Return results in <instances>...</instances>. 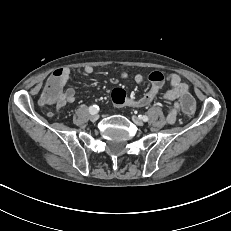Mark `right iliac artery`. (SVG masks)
Here are the masks:
<instances>
[{
	"mask_svg": "<svg viewBox=\"0 0 231 231\" xmlns=\"http://www.w3.org/2000/svg\"><path fill=\"white\" fill-rule=\"evenodd\" d=\"M99 111V106L97 105H92L89 107V112L90 114H96Z\"/></svg>",
	"mask_w": 231,
	"mask_h": 231,
	"instance_id": "right-iliac-artery-1",
	"label": "right iliac artery"
}]
</instances>
